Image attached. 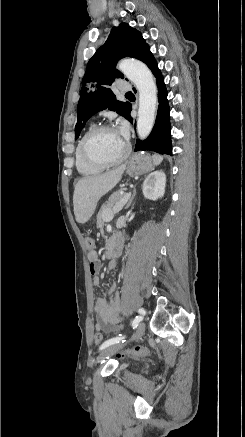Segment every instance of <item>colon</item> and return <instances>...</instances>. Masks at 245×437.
<instances>
[{
	"instance_id": "colon-1",
	"label": "colon",
	"mask_w": 245,
	"mask_h": 437,
	"mask_svg": "<svg viewBox=\"0 0 245 437\" xmlns=\"http://www.w3.org/2000/svg\"><path fill=\"white\" fill-rule=\"evenodd\" d=\"M86 246H87V249L89 251V258L91 260L90 268L93 270L94 264H95V242H94L93 238H91V237L86 238ZM102 341H103L102 333L99 331L95 332V334H94L95 344L99 345ZM149 352H150L149 349L137 346V347L129 348V349L122 351L121 355L122 356H125V355L126 356H142V355L148 354Z\"/></svg>"
}]
</instances>
